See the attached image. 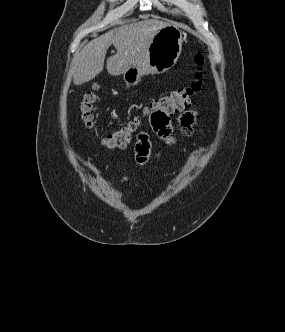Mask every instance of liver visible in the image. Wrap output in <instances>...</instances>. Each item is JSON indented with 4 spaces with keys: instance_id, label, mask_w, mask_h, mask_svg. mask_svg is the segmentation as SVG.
Listing matches in <instances>:
<instances>
[{
    "instance_id": "6515ba94",
    "label": "liver",
    "mask_w": 285,
    "mask_h": 332,
    "mask_svg": "<svg viewBox=\"0 0 285 332\" xmlns=\"http://www.w3.org/2000/svg\"><path fill=\"white\" fill-rule=\"evenodd\" d=\"M169 25L150 19L114 28L90 41L74 57L71 64L76 85L89 82L102 72L107 49L113 44L117 53L107 59V71L118 76L130 67L142 63L155 34Z\"/></svg>"
}]
</instances>
